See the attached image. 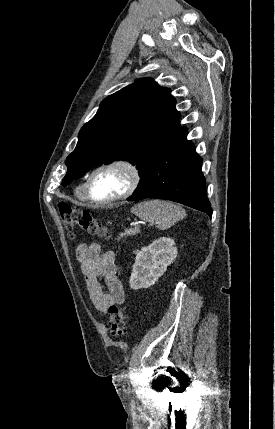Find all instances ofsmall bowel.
<instances>
[{
    "instance_id": "small-bowel-1",
    "label": "small bowel",
    "mask_w": 275,
    "mask_h": 429,
    "mask_svg": "<svg viewBox=\"0 0 275 429\" xmlns=\"http://www.w3.org/2000/svg\"><path fill=\"white\" fill-rule=\"evenodd\" d=\"M76 256L95 309L106 313L112 305L123 304L125 293L122 283L117 277L114 253L112 251L102 252L98 243H83L78 246ZM100 278L105 281L107 292L103 290Z\"/></svg>"
}]
</instances>
